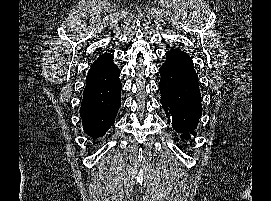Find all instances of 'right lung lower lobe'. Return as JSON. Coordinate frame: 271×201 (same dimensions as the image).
<instances>
[{
  "label": "right lung lower lobe",
  "mask_w": 271,
  "mask_h": 201,
  "mask_svg": "<svg viewBox=\"0 0 271 201\" xmlns=\"http://www.w3.org/2000/svg\"><path fill=\"white\" fill-rule=\"evenodd\" d=\"M112 58L110 53L100 55L86 77L80 117L84 132L93 139L102 137L114 124L121 106L120 69Z\"/></svg>",
  "instance_id": "right-lung-lower-lobe-1"
}]
</instances>
